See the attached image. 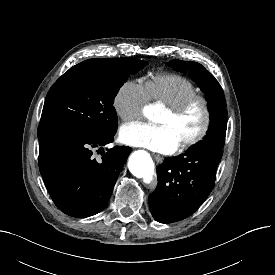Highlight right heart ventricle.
Wrapping results in <instances>:
<instances>
[{"mask_svg": "<svg viewBox=\"0 0 275 275\" xmlns=\"http://www.w3.org/2000/svg\"><path fill=\"white\" fill-rule=\"evenodd\" d=\"M149 99L165 106L173 105L198 93L197 87L186 77L173 73H160L145 82Z\"/></svg>", "mask_w": 275, "mask_h": 275, "instance_id": "obj_1", "label": "right heart ventricle"}]
</instances>
